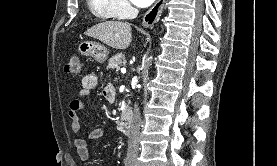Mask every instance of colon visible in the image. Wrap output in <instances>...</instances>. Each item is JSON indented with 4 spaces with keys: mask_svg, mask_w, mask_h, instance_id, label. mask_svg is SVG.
<instances>
[{
    "mask_svg": "<svg viewBox=\"0 0 277 166\" xmlns=\"http://www.w3.org/2000/svg\"><path fill=\"white\" fill-rule=\"evenodd\" d=\"M65 69L72 75H80L82 73V62L79 56L73 55L67 62Z\"/></svg>",
    "mask_w": 277,
    "mask_h": 166,
    "instance_id": "1",
    "label": "colon"
}]
</instances>
